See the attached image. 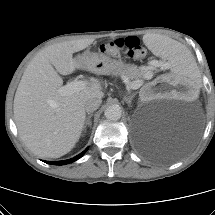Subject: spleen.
Returning <instances> with one entry per match:
<instances>
[{
	"mask_svg": "<svg viewBox=\"0 0 215 215\" xmlns=\"http://www.w3.org/2000/svg\"><path fill=\"white\" fill-rule=\"evenodd\" d=\"M146 47L170 63V69L178 73L185 81L195 83L199 79V67L196 59L193 58L190 50L174 44L165 38L148 35L144 39Z\"/></svg>",
	"mask_w": 215,
	"mask_h": 215,
	"instance_id": "3e777b00",
	"label": "spleen"
}]
</instances>
